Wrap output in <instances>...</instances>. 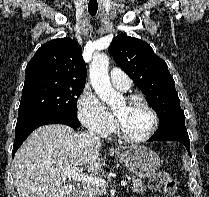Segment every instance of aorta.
I'll use <instances>...</instances> for the list:
<instances>
[{"label": "aorta", "instance_id": "1", "mask_svg": "<svg viewBox=\"0 0 209 197\" xmlns=\"http://www.w3.org/2000/svg\"><path fill=\"white\" fill-rule=\"evenodd\" d=\"M109 57L102 53L93 56L90 64V79L99 98L110 106L119 104L121 95L116 92L108 74Z\"/></svg>", "mask_w": 209, "mask_h": 197}]
</instances>
